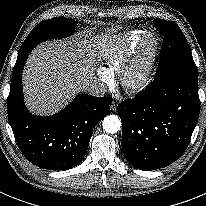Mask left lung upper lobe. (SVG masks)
<instances>
[{
  "mask_svg": "<svg viewBox=\"0 0 206 206\" xmlns=\"http://www.w3.org/2000/svg\"><path fill=\"white\" fill-rule=\"evenodd\" d=\"M154 25L164 36L155 80L159 82L170 76L197 78L192 53L179 26L161 19H155Z\"/></svg>",
  "mask_w": 206,
  "mask_h": 206,
  "instance_id": "5c2ea615",
  "label": "left lung upper lobe"
}]
</instances>
